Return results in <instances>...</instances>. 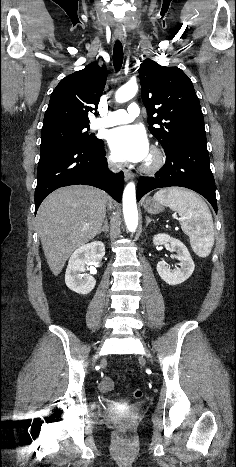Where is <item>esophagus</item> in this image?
Instances as JSON below:
<instances>
[{
    "label": "esophagus",
    "instance_id": "obj_1",
    "mask_svg": "<svg viewBox=\"0 0 236 467\" xmlns=\"http://www.w3.org/2000/svg\"><path fill=\"white\" fill-rule=\"evenodd\" d=\"M119 40H121V38H118ZM124 176H125V180H130L134 177V174L127 170V169H124Z\"/></svg>",
    "mask_w": 236,
    "mask_h": 467
}]
</instances>
